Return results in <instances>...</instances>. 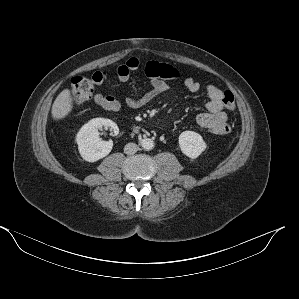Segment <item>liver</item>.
Segmentation results:
<instances>
[{"mask_svg":"<svg viewBox=\"0 0 299 299\" xmlns=\"http://www.w3.org/2000/svg\"><path fill=\"white\" fill-rule=\"evenodd\" d=\"M72 97L69 89H64L55 99L51 114L54 120L65 118L72 111Z\"/></svg>","mask_w":299,"mask_h":299,"instance_id":"6515ba94","label":"liver"}]
</instances>
